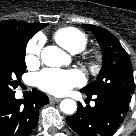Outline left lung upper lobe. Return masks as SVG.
Masks as SVG:
<instances>
[{"label":"left lung upper lobe","mask_w":136,"mask_h":136,"mask_svg":"<svg viewBox=\"0 0 136 136\" xmlns=\"http://www.w3.org/2000/svg\"><path fill=\"white\" fill-rule=\"evenodd\" d=\"M92 30L103 52V65L97 80L81 91L89 95L104 93L133 94L134 79L129 56L120 42L109 31L94 25H84Z\"/></svg>","instance_id":"1"}]
</instances>
